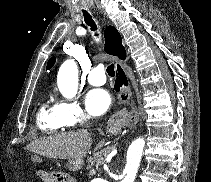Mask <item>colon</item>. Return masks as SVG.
<instances>
[{
  "mask_svg": "<svg viewBox=\"0 0 211 182\" xmlns=\"http://www.w3.org/2000/svg\"><path fill=\"white\" fill-rule=\"evenodd\" d=\"M44 179L46 182H68L69 176L63 172L51 171L45 173Z\"/></svg>",
  "mask_w": 211,
  "mask_h": 182,
  "instance_id": "obj_1",
  "label": "colon"
}]
</instances>
